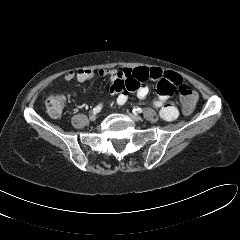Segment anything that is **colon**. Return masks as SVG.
Returning a JSON list of instances; mask_svg holds the SVG:
<instances>
[{
	"mask_svg": "<svg viewBox=\"0 0 240 240\" xmlns=\"http://www.w3.org/2000/svg\"><path fill=\"white\" fill-rule=\"evenodd\" d=\"M181 105L185 113H190L196 106L198 96L194 90L185 84L178 86ZM65 97L61 94L51 93L45 99L46 110L49 115L59 116L63 110Z\"/></svg>",
	"mask_w": 240,
	"mask_h": 240,
	"instance_id": "obj_1",
	"label": "colon"
}]
</instances>
